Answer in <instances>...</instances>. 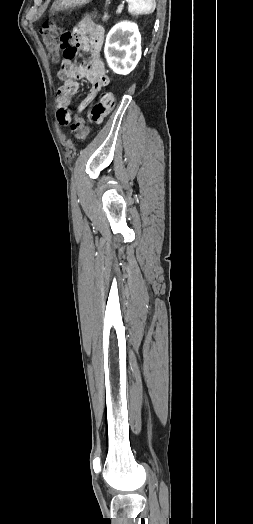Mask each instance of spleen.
<instances>
[{"instance_id":"spleen-1","label":"spleen","mask_w":253,"mask_h":524,"mask_svg":"<svg viewBox=\"0 0 253 524\" xmlns=\"http://www.w3.org/2000/svg\"><path fill=\"white\" fill-rule=\"evenodd\" d=\"M128 11L134 15L151 14L156 7L155 0H127Z\"/></svg>"}]
</instances>
